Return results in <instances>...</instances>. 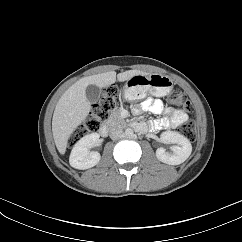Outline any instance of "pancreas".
Masks as SVG:
<instances>
[{
  "label": "pancreas",
  "instance_id": "obj_1",
  "mask_svg": "<svg viewBox=\"0 0 242 242\" xmlns=\"http://www.w3.org/2000/svg\"><path fill=\"white\" fill-rule=\"evenodd\" d=\"M121 111L116 110L112 112L107 119V123L112 127L124 128L126 126L125 120L120 115Z\"/></svg>",
  "mask_w": 242,
  "mask_h": 242
}]
</instances>
